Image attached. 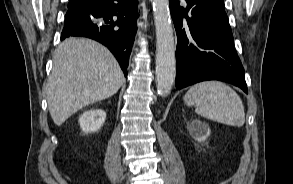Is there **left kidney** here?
<instances>
[{"instance_id":"obj_1","label":"left kidney","mask_w":293,"mask_h":184,"mask_svg":"<svg viewBox=\"0 0 293 184\" xmlns=\"http://www.w3.org/2000/svg\"><path fill=\"white\" fill-rule=\"evenodd\" d=\"M190 135L197 141L203 142L210 136V128L207 123L193 120L188 126Z\"/></svg>"}]
</instances>
